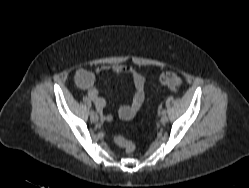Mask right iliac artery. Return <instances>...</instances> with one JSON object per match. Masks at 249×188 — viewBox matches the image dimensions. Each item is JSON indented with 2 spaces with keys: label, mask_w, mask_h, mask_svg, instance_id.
<instances>
[{
  "label": "right iliac artery",
  "mask_w": 249,
  "mask_h": 188,
  "mask_svg": "<svg viewBox=\"0 0 249 188\" xmlns=\"http://www.w3.org/2000/svg\"><path fill=\"white\" fill-rule=\"evenodd\" d=\"M95 114V112L92 110L91 112H90V115L92 116V115H94Z\"/></svg>",
  "instance_id": "right-iliac-artery-1"
}]
</instances>
